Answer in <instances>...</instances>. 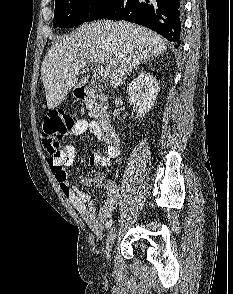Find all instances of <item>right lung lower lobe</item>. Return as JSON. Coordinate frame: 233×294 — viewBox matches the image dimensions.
<instances>
[{"label": "right lung lower lobe", "mask_w": 233, "mask_h": 294, "mask_svg": "<svg viewBox=\"0 0 233 294\" xmlns=\"http://www.w3.org/2000/svg\"><path fill=\"white\" fill-rule=\"evenodd\" d=\"M181 0H118L106 18L141 24L181 44Z\"/></svg>", "instance_id": "98d812e1"}]
</instances>
